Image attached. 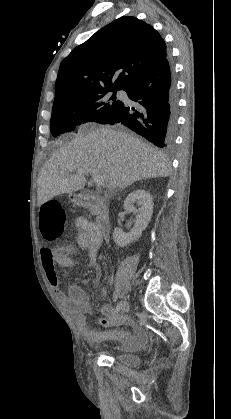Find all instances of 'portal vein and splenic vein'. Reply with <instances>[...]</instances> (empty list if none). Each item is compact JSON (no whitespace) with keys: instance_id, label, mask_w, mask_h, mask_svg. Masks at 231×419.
<instances>
[{"instance_id":"obj_1","label":"portal vein and splenic vein","mask_w":231,"mask_h":419,"mask_svg":"<svg viewBox=\"0 0 231 419\" xmlns=\"http://www.w3.org/2000/svg\"><path fill=\"white\" fill-rule=\"evenodd\" d=\"M77 174L78 175L90 174L93 177V180L98 187L104 185L105 177L103 175L99 174L94 169H87V170L81 169V170L77 171Z\"/></svg>"}]
</instances>
